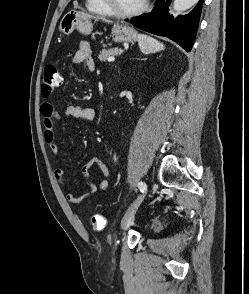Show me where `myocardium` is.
<instances>
[{
	"label": "myocardium",
	"instance_id": "f54148a6",
	"mask_svg": "<svg viewBox=\"0 0 249 294\" xmlns=\"http://www.w3.org/2000/svg\"><path fill=\"white\" fill-rule=\"evenodd\" d=\"M102 3L106 7L110 15L119 18H128L143 13L148 8L149 0H144L139 7L130 11H122L117 9L112 0H102Z\"/></svg>",
	"mask_w": 249,
	"mask_h": 294
}]
</instances>
